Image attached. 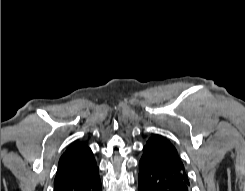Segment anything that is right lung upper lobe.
I'll list each match as a JSON object with an SVG mask.
<instances>
[{"label": "right lung upper lobe", "instance_id": "1", "mask_svg": "<svg viewBox=\"0 0 245 191\" xmlns=\"http://www.w3.org/2000/svg\"><path fill=\"white\" fill-rule=\"evenodd\" d=\"M96 165L90 148L82 142H76L61 156L54 186L79 177Z\"/></svg>", "mask_w": 245, "mask_h": 191}]
</instances>
